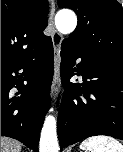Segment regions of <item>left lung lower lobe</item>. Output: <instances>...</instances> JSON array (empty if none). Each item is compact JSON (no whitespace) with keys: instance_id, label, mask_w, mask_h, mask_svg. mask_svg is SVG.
I'll list each match as a JSON object with an SVG mask.
<instances>
[{"instance_id":"1","label":"left lung lower lobe","mask_w":123,"mask_h":152,"mask_svg":"<svg viewBox=\"0 0 123 152\" xmlns=\"http://www.w3.org/2000/svg\"><path fill=\"white\" fill-rule=\"evenodd\" d=\"M78 58L81 62L73 69ZM61 59L65 89L57 123L60 149L96 135L123 140V66L99 61L64 41ZM74 72L82 75V87L69 82Z\"/></svg>"}]
</instances>
